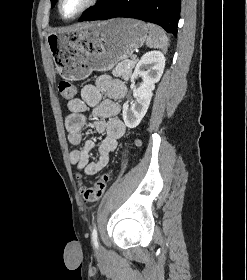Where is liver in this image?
<instances>
[{
    "label": "liver",
    "instance_id": "1",
    "mask_svg": "<svg viewBox=\"0 0 247 280\" xmlns=\"http://www.w3.org/2000/svg\"><path fill=\"white\" fill-rule=\"evenodd\" d=\"M84 25H86V24H78V25H75V26L71 27L70 29L83 27Z\"/></svg>",
    "mask_w": 247,
    "mask_h": 280
}]
</instances>
